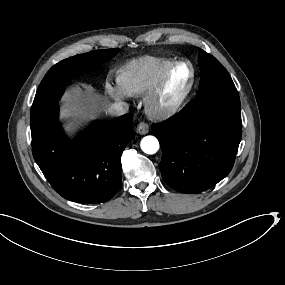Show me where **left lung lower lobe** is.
Masks as SVG:
<instances>
[{
    "mask_svg": "<svg viewBox=\"0 0 285 285\" xmlns=\"http://www.w3.org/2000/svg\"><path fill=\"white\" fill-rule=\"evenodd\" d=\"M162 149L163 180L174 190H207L231 171L242 134L237 90L204 94L176 116L153 124Z\"/></svg>",
    "mask_w": 285,
    "mask_h": 285,
    "instance_id": "1",
    "label": "left lung lower lobe"
}]
</instances>
